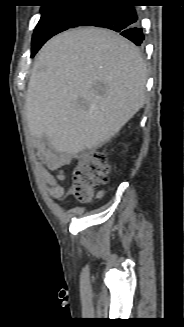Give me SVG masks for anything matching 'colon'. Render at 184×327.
I'll return each instance as SVG.
<instances>
[{"instance_id": "colon-1", "label": "colon", "mask_w": 184, "mask_h": 327, "mask_svg": "<svg viewBox=\"0 0 184 327\" xmlns=\"http://www.w3.org/2000/svg\"><path fill=\"white\" fill-rule=\"evenodd\" d=\"M110 168L103 152L92 151L72 172L71 188L82 202L91 201L97 188L108 182Z\"/></svg>"}]
</instances>
